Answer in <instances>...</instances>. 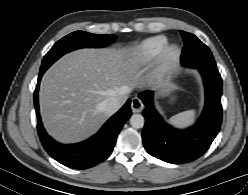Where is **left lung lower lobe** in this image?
<instances>
[{"mask_svg":"<svg viewBox=\"0 0 248 195\" xmlns=\"http://www.w3.org/2000/svg\"><path fill=\"white\" fill-rule=\"evenodd\" d=\"M205 87V107L191 127L179 130L166 124L153 107V92L139 94L146 108L142 132L146 151L165 162L181 164L202 156L218 134L222 121V79L216 67L199 69Z\"/></svg>","mask_w":248,"mask_h":195,"instance_id":"left-lung-lower-lobe-1","label":"left lung lower lobe"}]
</instances>
